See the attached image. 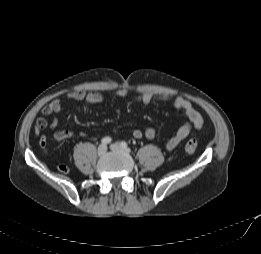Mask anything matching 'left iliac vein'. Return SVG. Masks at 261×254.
Here are the masks:
<instances>
[{"mask_svg":"<svg viewBox=\"0 0 261 254\" xmlns=\"http://www.w3.org/2000/svg\"><path fill=\"white\" fill-rule=\"evenodd\" d=\"M110 149L111 150H114V151H116V150H123V151H125L126 153H129L130 152V149L129 148H123L120 144H118V143H114V144H111L110 145Z\"/></svg>","mask_w":261,"mask_h":254,"instance_id":"4c4485c4","label":"left iliac vein"}]
</instances>
